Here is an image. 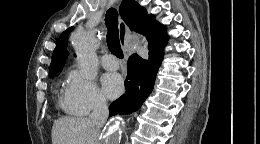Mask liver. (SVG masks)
<instances>
[{
	"mask_svg": "<svg viewBox=\"0 0 260 144\" xmlns=\"http://www.w3.org/2000/svg\"><path fill=\"white\" fill-rule=\"evenodd\" d=\"M98 130L85 117H62L54 121L52 144H96Z\"/></svg>",
	"mask_w": 260,
	"mask_h": 144,
	"instance_id": "obj_1",
	"label": "liver"
}]
</instances>
